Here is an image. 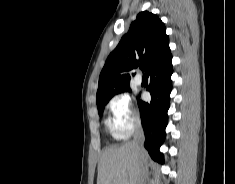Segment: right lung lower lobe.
<instances>
[{"label":"right lung lower lobe","instance_id":"right-lung-lower-lobe-1","mask_svg":"<svg viewBox=\"0 0 235 184\" xmlns=\"http://www.w3.org/2000/svg\"><path fill=\"white\" fill-rule=\"evenodd\" d=\"M172 72V55L170 54L146 72L150 78L147 90L151 94V102L138 101L145 134L144 146L151 158L159 163H164L163 154L159 149L166 136L165 128L168 123L167 111L172 90Z\"/></svg>","mask_w":235,"mask_h":184}]
</instances>
